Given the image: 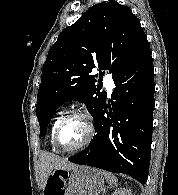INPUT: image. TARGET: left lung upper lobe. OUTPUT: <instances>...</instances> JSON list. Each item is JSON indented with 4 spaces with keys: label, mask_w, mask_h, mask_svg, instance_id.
I'll list each match as a JSON object with an SVG mask.
<instances>
[{
    "label": "left lung upper lobe",
    "mask_w": 178,
    "mask_h": 195,
    "mask_svg": "<svg viewBox=\"0 0 178 195\" xmlns=\"http://www.w3.org/2000/svg\"><path fill=\"white\" fill-rule=\"evenodd\" d=\"M149 51L147 37L129 7L113 0L92 6L60 33L48 52L36 105L40 136L66 101L82 102L93 118L97 116L106 95L95 85L104 72L97 80L93 68L109 70L114 80Z\"/></svg>",
    "instance_id": "1"
}]
</instances>
